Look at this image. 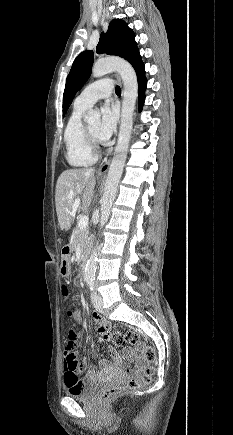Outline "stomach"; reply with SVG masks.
<instances>
[{"mask_svg":"<svg viewBox=\"0 0 233 435\" xmlns=\"http://www.w3.org/2000/svg\"><path fill=\"white\" fill-rule=\"evenodd\" d=\"M59 273L62 277L67 278L71 274L70 261L67 258H62Z\"/></svg>","mask_w":233,"mask_h":435,"instance_id":"obj_1","label":"stomach"}]
</instances>
